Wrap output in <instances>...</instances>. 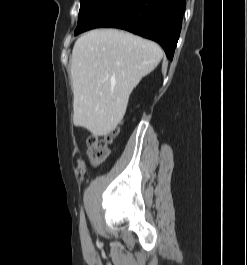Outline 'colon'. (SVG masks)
I'll return each mask as SVG.
<instances>
[{
  "instance_id": "1",
  "label": "colon",
  "mask_w": 247,
  "mask_h": 265,
  "mask_svg": "<svg viewBox=\"0 0 247 265\" xmlns=\"http://www.w3.org/2000/svg\"><path fill=\"white\" fill-rule=\"evenodd\" d=\"M118 134V129H114L112 133L105 137L89 136L87 143L89 146V153L93 165H98L103 162L109 155V144L113 138Z\"/></svg>"
}]
</instances>
